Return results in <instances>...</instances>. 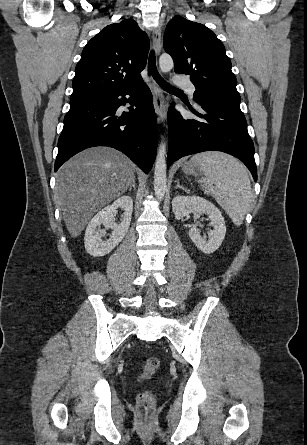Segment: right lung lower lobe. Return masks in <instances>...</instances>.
<instances>
[{"label":"right lung lower lobe","mask_w":307,"mask_h":445,"mask_svg":"<svg viewBox=\"0 0 307 445\" xmlns=\"http://www.w3.org/2000/svg\"><path fill=\"white\" fill-rule=\"evenodd\" d=\"M125 95H130L129 100ZM152 100V94L143 81L70 100V110L64 118L58 141L54 171L86 148L110 146L122 151L148 173L157 147V123ZM125 103L131 105L130 111L121 115L116 113Z\"/></svg>","instance_id":"obj_1"}]
</instances>
